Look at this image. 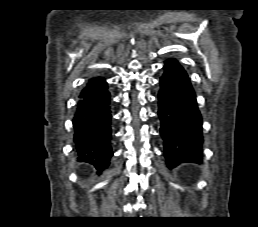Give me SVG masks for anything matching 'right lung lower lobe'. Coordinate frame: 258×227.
Masks as SVG:
<instances>
[{"mask_svg":"<svg viewBox=\"0 0 258 227\" xmlns=\"http://www.w3.org/2000/svg\"><path fill=\"white\" fill-rule=\"evenodd\" d=\"M110 104L105 78H92L79 95L73 118L78 160L92 163L98 170L107 168L113 155Z\"/></svg>","mask_w":258,"mask_h":227,"instance_id":"98d812e1","label":"right lung lower lobe"}]
</instances>
